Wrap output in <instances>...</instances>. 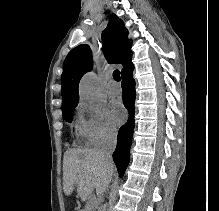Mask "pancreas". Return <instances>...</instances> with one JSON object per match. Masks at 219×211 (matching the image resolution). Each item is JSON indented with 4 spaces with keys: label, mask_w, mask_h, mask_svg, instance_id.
Listing matches in <instances>:
<instances>
[{
    "label": "pancreas",
    "mask_w": 219,
    "mask_h": 211,
    "mask_svg": "<svg viewBox=\"0 0 219 211\" xmlns=\"http://www.w3.org/2000/svg\"><path fill=\"white\" fill-rule=\"evenodd\" d=\"M89 207H87L88 211H93V209H95L96 205L94 200H89L88 201Z\"/></svg>",
    "instance_id": "obj_1"
}]
</instances>
